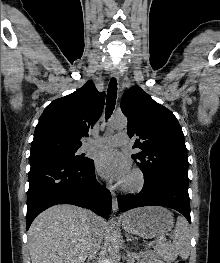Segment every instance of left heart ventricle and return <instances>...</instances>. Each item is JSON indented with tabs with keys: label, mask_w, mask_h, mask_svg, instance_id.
<instances>
[{
	"label": "left heart ventricle",
	"mask_w": 220,
	"mask_h": 263,
	"mask_svg": "<svg viewBox=\"0 0 220 263\" xmlns=\"http://www.w3.org/2000/svg\"><path fill=\"white\" fill-rule=\"evenodd\" d=\"M134 182V178L129 175L128 178L123 182L124 184H132Z\"/></svg>",
	"instance_id": "left-heart-ventricle-1"
}]
</instances>
